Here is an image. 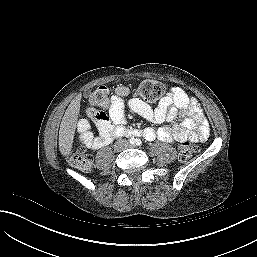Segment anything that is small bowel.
Returning a JSON list of instances; mask_svg holds the SVG:
<instances>
[{
    "mask_svg": "<svg viewBox=\"0 0 257 257\" xmlns=\"http://www.w3.org/2000/svg\"><path fill=\"white\" fill-rule=\"evenodd\" d=\"M131 94V90L126 86L115 89L108 115L102 113L95 120L97 136L90 131L88 119L79 120L77 131L86 146L99 149L111 142L114 131L125 123L124 97ZM126 105L132 112L154 124L172 123L171 126H162L157 130L145 128L142 134L147 140L158 138L163 142H199L209 136L210 128L200 105L179 87L172 88L155 108L135 96L131 97Z\"/></svg>",
    "mask_w": 257,
    "mask_h": 257,
    "instance_id": "1",
    "label": "small bowel"
}]
</instances>
